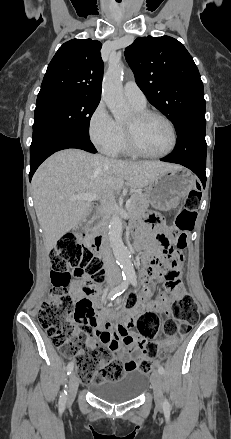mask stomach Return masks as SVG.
I'll use <instances>...</instances> for the list:
<instances>
[{
    "instance_id": "0dacf381",
    "label": "stomach",
    "mask_w": 231,
    "mask_h": 439,
    "mask_svg": "<svg viewBox=\"0 0 231 439\" xmlns=\"http://www.w3.org/2000/svg\"><path fill=\"white\" fill-rule=\"evenodd\" d=\"M196 188V177L179 167L162 173L150 183L145 195L156 209L167 211L177 207L180 201Z\"/></svg>"
}]
</instances>
